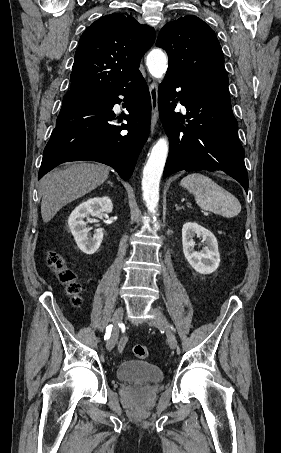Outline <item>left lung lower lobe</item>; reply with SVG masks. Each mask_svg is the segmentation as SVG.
<instances>
[{
	"instance_id": "1",
	"label": "left lung lower lobe",
	"mask_w": 281,
	"mask_h": 453,
	"mask_svg": "<svg viewBox=\"0 0 281 453\" xmlns=\"http://www.w3.org/2000/svg\"><path fill=\"white\" fill-rule=\"evenodd\" d=\"M176 88L181 91L177 92ZM158 99L170 140L163 178L181 170H222L236 179L247 193L244 149L238 139L228 88L188 85L167 73L159 86ZM178 100L187 109L184 117L189 122L187 125L180 124L184 122L183 116L173 112Z\"/></svg>"
}]
</instances>
